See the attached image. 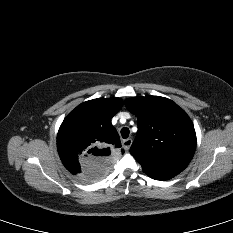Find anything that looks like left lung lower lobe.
Returning <instances> with one entry per match:
<instances>
[{"label":"left lung lower lobe","instance_id":"left-lung-lower-lobe-1","mask_svg":"<svg viewBox=\"0 0 233 233\" xmlns=\"http://www.w3.org/2000/svg\"><path fill=\"white\" fill-rule=\"evenodd\" d=\"M150 177L156 180H168L174 176L173 175H158V176H150Z\"/></svg>","mask_w":233,"mask_h":233}]
</instances>
